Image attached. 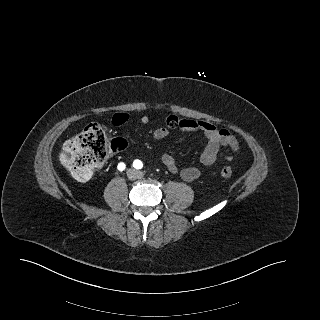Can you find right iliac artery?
Wrapping results in <instances>:
<instances>
[{"instance_id":"obj_1","label":"right iliac artery","mask_w":320,"mask_h":320,"mask_svg":"<svg viewBox=\"0 0 320 320\" xmlns=\"http://www.w3.org/2000/svg\"><path fill=\"white\" fill-rule=\"evenodd\" d=\"M117 168L118 170L123 171L126 168V165L123 162H121L118 164Z\"/></svg>"}]
</instances>
